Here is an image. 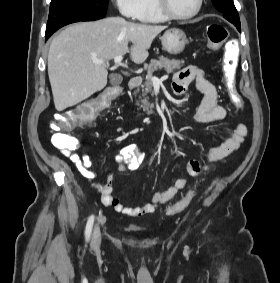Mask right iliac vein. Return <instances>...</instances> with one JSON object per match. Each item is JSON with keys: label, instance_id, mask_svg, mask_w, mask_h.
Listing matches in <instances>:
<instances>
[{"label": "right iliac vein", "instance_id": "obj_1", "mask_svg": "<svg viewBox=\"0 0 280 283\" xmlns=\"http://www.w3.org/2000/svg\"><path fill=\"white\" fill-rule=\"evenodd\" d=\"M100 241H101L100 230L99 228H96L93 234V246L94 247L99 246Z\"/></svg>", "mask_w": 280, "mask_h": 283}]
</instances>
